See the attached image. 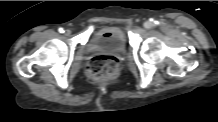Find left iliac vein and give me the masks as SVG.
<instances>
[{
  "label": "left iliac vein",
  "instance_id": "obj_1",
  "mask_svg": "<svg viewBox=\"0 0 218 122\" xmlns=\"http://www.w3.org/2000/svg\"><path fill=\"white\" fill-rule=\"evenodd\" d=\"M144 28H151L152 27V23L149 22V21H146L144 24H143Z\"/></svg>",
  "mask_w": 218,
  "mask_h": 122
}]
</instances>
